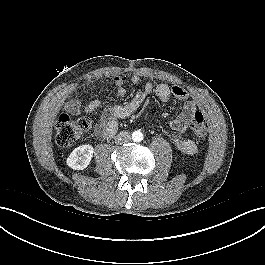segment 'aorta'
Here are the masks:
<instances>
[{"label": "aorta", "mask_w": 265, "mask_h": 265, "mask_svg": "<svg viewBox=\"0 0 265 265\" xmlns=\"http://www.w3.org/2000/svg\"><path fill=\"white\" fill-rule=\"evenodd\" d=\"M132 140L135 141V142H140L143 140V133L139 130L137 131H134L132 133Z\"/></svg>", "instance_id": "obj_1"}]
</instances>
